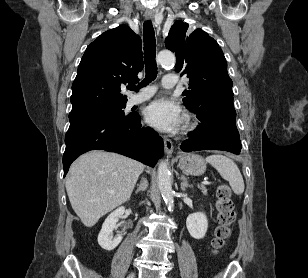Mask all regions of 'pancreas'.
Masks as SVG:
<instances>
[{
    "label": "pancreas",
    "mask_w": 308,
    "mask_h": 278,
    "mask_svg": "<svg viewBox=\"0 0 308 278\" xmlns=\"http://www.w3.org/2000/svg\"><path fill=\"white\" fill-rule=\"evenodd\" d=\"M198 188L201 190V192L203 194H207V189H206V187L204 185H200V186H198Z\"/></svg>",
    "instance_id": "1"
}]
</instances>
